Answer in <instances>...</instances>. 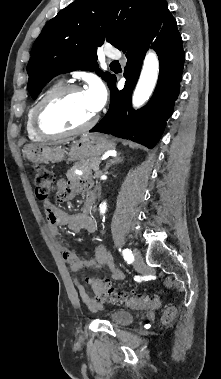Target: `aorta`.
Returning <instances> with one entry per match:
<instances>
[{
	"mask_svg": "<svg viewBox=\"0 0 221 379\" xmlns=\"http://www.w3.org/2000/svg\"><path fill=\"white\" fill-rule=\"evenodd\" d=\"M159 73V61L155 52L149 51L144 59L143 68L133 93L134 107L142 106L151 96ZM106 203L100 205V213H105Z\"/></svg>",
	"mask_w": 221,
	"mask_h": 379,
	"instance_id": "aorta-1",
	"label": "aorta"
}]
</instances>
